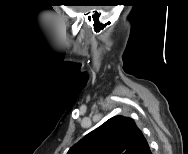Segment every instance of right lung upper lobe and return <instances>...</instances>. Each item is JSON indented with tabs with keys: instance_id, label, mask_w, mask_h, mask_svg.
<instances>
[{
	"instance_id": "cb5924a9",
	"label": "right lung upper lobe",
	"mask_w": 188,
	"mask_h": 154,
	"mask_svg": "<svg viewBox=\"0 0 188 154\" xmlns=\"http://www.w3.org/2000/svg\"><path fill=\"white\" fill-rule=\"evenodd\" d=\"M147 140L133 119L114 116L87 134L67 154H150Z\"/></svg>"
}]
</instances>
